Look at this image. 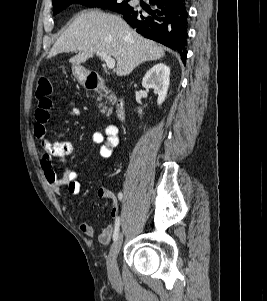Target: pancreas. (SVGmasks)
<instances>
[{
	"label": "pancreas",
	"instance_id": "cf45deb5",
	"mask_svg": "<svg viewBox=\"0 0 267 301\" xmlns=\"http://www.w3.org/2000/svg\"><path fill=\"white\" fill-rule=\"evenodd\" d=\"M100 96H102V95H100ZM113 98H114V96L112 94L110 96H106V99L110 100V101H112ZM101 106H102V112H105L106 110H108V115H109L110 109L107 108L106 105L103 103L101 104Z\"/></svg>",
	"mask_w": 267,
	"mask_h": 301
}]
</instances>
